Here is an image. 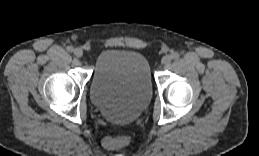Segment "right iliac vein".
<instances>
[{
	"label": "right iliac vein",
	"instance_id": "obj_1",
	"mask_svg": "<svg viewBox=\"0 0 259 156\" xmlns=\"http://www.w3.org/2000/svg\"><path fill=\"white\" fill-rule=\"evenodd\" d=\"M74 55H75L76 57H78V58L82 57V56H83V51H82V49L76 48V49L74 50Z\"/></svg>",
	"mask_w": 259,
	"mask_h": 156
}]
</instances>
